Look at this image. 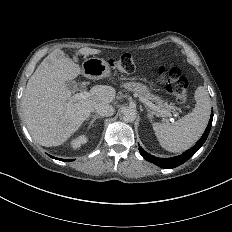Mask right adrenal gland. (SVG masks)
<instances>
[{
  "mask_svg": "<svg viewBox=\"0 0 232 232\" xmlns=\"http://www.w3.org/2000/svg\"><path fill=\"white\" fill-rule=\"evenodd\" d=\"M89 117H91V115L88 116V117L86 118V120H89ZM98 118H102V116H100V115H98V114L92 115V120H91L90 123H89L88 129L91 128V126L93 125V123L95 122V120L98 119Z\"/></svg>",
  "mask_w": 232,
  "mask_h": 232,
  "instance_id": "2a0ac1e0",
  "label": "right adrenal gland"
}]
</instances>
